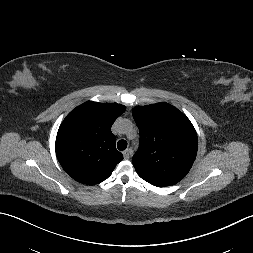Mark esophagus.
I'll list each match as a JSON object with an SVG mask.
<instances>
[{"label":"esophagus","instance_id":"esophagus-1","mask_svg":"<svg viewBox=\"0 0 253 253\" xmlns=\"http://www.w3.org/2000/svg\"><path fill=\"white\" fill-rule=\"evenodd\" d=\"M132 154V150L131 149H127L123 152V156H124V159H129L130 156Z\"/></svg>","mask_w":253,"mask_h":253}]
</instances>
